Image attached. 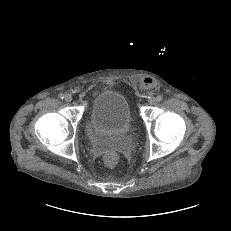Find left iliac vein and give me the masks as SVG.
<instances>
[{"label":"left iliac vein","instance_id":"obj_1","mask_svg":"<svg viewBox=\"0 0 231 231\" xmlns=\"http://www.w3.org/2000/svg\"><path fill=\"white\" fill-rule=\"evenodd\" d=\"M156 101H157L156 98L150 97L148 100V103H149V105H155Z\"/></svg>","mask_w":231,"mask_h":231}]
</instances>
